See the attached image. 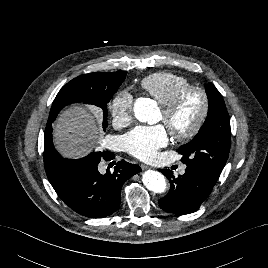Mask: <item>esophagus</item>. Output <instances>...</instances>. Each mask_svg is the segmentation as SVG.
Here are the masks:
<instances>
[{"label":"esophagus","mask_w":268,"mask_h":268,"mask_svg":"<svg viewBox=\"0 0 268 268\" xmlns=\"http://www.w3.org/2000/svg\"><path fill=\"white\" fill-rule=\"evenodd\" d=\"M141 168H142V170L151 169L148 165H145V164H141Z\"/></svg>","instance_id":"1"}]
</instances>
